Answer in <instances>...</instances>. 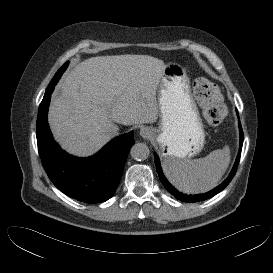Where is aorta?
Masks as SVG:
<instances>
[{"label":"aorta","instance_id":"aorta-1","mask_svg":"<svg viewBox=\"0 0 273 273\" xmlns=\"http://www.w3.org/2000/svg\"><path fill=\"white\" fill-rule=\"evenodd\" d=\"M130 154L133 159L143 161L149 157L150 150L145 143H136L132 146Z\"/></svg>","mask_w":273,"mask_h":273}]
</instances>
